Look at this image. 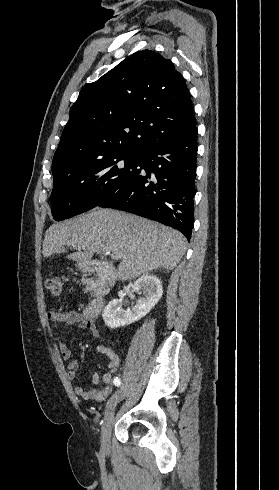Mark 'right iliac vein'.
Wrapping results in <instances>:
<instances>
[{
    "label": "right iliac vein",
    "instance_id": "right-iliac-vein-1",
    "mask_svg": "<svg viewBox=\"0 0 279 490\" xmlns=\"http://www.w3.org/2000/svg\"><path fill=\"white\" fill-rule=\"evenodd\" d=\"M121 389L117 390L107 403L104 421L102 423L101 451L106 454L110 452V435L114 425V414L116 405L121 401Z\"/></svg>",
    "mask_w": 279,
    "mask_h": 490
}]
</instances>
